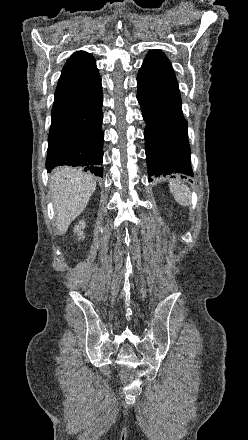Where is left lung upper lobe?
Returning a JSON list of instances; mask_svg holds the SVG:
<instances>
[{
    "label": "left lung upper lobe",
    "instance_id": "left-lung-upper-lobe-1",
    "mask_svg": "<svg viewBox=\"0 0 248 440\" xmlns=\"http://www.w3.org/2000/svg\"><path fill=\"white\" fill-rule=\"evenodd\" d=\"M138 75L150 83L169 87L179 93L178 82L171 63L159 50L148 53Z\"/></svg>",
    "mask_w": 248,
    "mask_h": 440
}]
</instances>
